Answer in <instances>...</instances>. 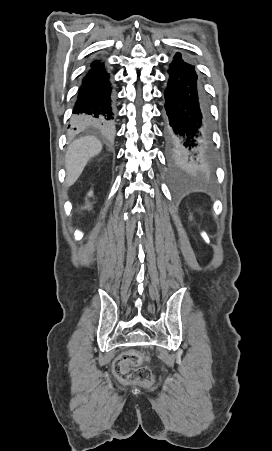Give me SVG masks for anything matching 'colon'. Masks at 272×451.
<instances>
[{
  "instance_id": "colon-1",
  "label": "colon",
  "mask_w": 272,
  "mask_h": 451,
  "mask_svg": "<svg viewBox=\"0 0 272 451\" xmlns=\"http://www.w3.org/2000/svg\"><path fill=\"white\" fill-rule=\"evenodd\" d=\"M138 362H140V358L135 353L131 354L129 358H115V374H124L123 380L127 383H150L152 375L149 365H134Z\"/></svg>"
}]
</instances>
